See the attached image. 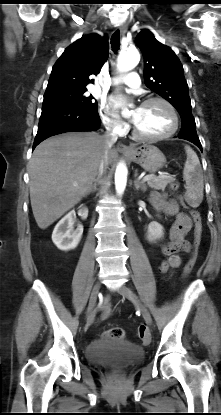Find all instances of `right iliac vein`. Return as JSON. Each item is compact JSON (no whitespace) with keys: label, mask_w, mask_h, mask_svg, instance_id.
<instances>
[{"label":"right iliac vein","mask_w":221,"mask_h":415,"mask_svg":"<svg viewBox=\"0 0 221 415\" xmlns=\"http://www.w3.org/2000/svg\"><path fill=\"white\" fill-rule=\"evenodd\" d=\"M99 290H100V283L97 282L93 287V290L91 292V296L89 299V304L87 308V320H91L93 318V310L96 305Z\"/></svg>","instance_id":"obj_1"}]
</instances>
